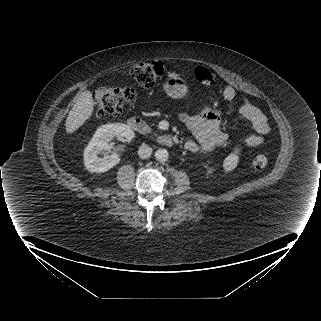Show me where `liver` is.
<instances>
[{"label":"liver","instance_id":"6515ba94","mask_svg":"<svg viewBox=\"0 0 321 321\" xmlns=\"http://www.w3.org/2000/svg\"><path fill=\"white\" fill-rule=\"evenodd\" d=\"M93 110L94 101L92 93L86 90L79 96L67 116L65 122L66 133L72 134L77 131L92 116Z\"/></svg>","mask_w":321,"mask_h":321}]
</instances>
